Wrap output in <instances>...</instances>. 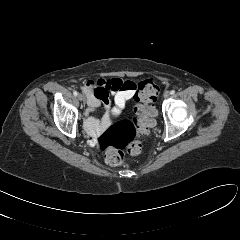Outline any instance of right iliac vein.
I'll use <instances>...</instances> for the list:
<instances>
[{
    "label": "right iliac vein",
    "instance_id": "63e3f726",
    "mask_svg": "<svg viewBox=\"0 0 240 240\" xmlns=\"http://www.w3.org/2000/svg\"><path fill=\"white\" fill-rule=\"evenodd\" d=\"M77 97H78V100H79V101H83V100H84V97H83V95H82V94H78V96H77Z\"/></svg>",
    "mask_w": 240,
    "mask_h": 240
}]
</instances>
